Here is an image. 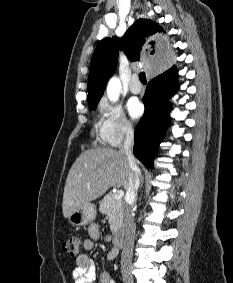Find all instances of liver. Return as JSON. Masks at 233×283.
Here are the masks:
<instances>
[{"mask_svg": "<svg viewBox=\"0 0 233 283\" xmlns=\"http://www.w3.org/2000/svg\"><path fill=\"white\" fill-rule=\"evenodd\" d=\"M130 167L125 154L112 149H91L80 154L69 170L62 210L72 212L102 196L110 187L127 189Z\"/></svg>", "mask_w": 233, "mask_h": 283, "instance_id": "liver-1", "label": "liver"}]
</instances>
